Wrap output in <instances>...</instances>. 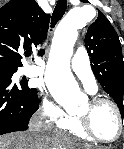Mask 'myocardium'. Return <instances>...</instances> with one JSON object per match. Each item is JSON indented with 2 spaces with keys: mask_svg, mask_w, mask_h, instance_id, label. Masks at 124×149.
<instances>
[{
  "mask_svg": "<svg viewBox=\"0 0 124 149\" xmlns=\"http://www.w3.org/2000/svg\"><path fill=\"white\" fill-rule=\"evenodd\" d=\"M89 104L91 107H97L99 105H109L114 110V113L116 115L119 131L117 136L114 139L108 140V139L101 138L93 130L89 116L86 114H78L77 118H78L79 124L82 130L85 132V134L88 137H90L92 140H95L103 144H112L119 141L122 138V136H124V116L119 106L114 101L104 97H93L89 101Z\"/></svg>",
  "mask_w": 124,
  "mask_h": 149,
  "instance_id": "1",
  "label": "myocardium"
}]
</instances>
